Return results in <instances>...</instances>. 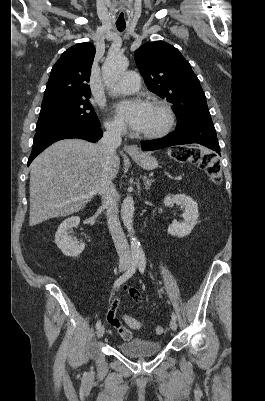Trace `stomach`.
I'll return each instance as SVG.
<instances>
[{
  "label": "stomach",
  "mask_w": 265,
  "mask_h": 401,
  "mask_svg": "<svg viewBox=\"0 0 265 401\" xmlns=\"http://www.w3.org/2000/svg\"><path fill=\"white\" fill-rule=\"evenodd\" d=\"M132 158H134L135 162L145 168V170H153V168H157L158 160L155 156H151L148 152H141V154H130Z\"/></svg>",
  "instance_id": "stomach-1"
}]
</instances>
